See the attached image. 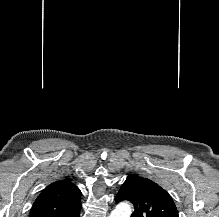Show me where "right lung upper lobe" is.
<instances>
[{
    "label": "right lung upper lobe",
    "instance_id": "right-lung-upper-lobe-1",
    "mask_svg": "<svg viewBox=\"0 0 219 217\" xmlns=\"http://www.w3.org/2000/svg\"><path fill=\"white\" fill-rule=\"evenodd\" d=\"M81 192L68 178L48 185L35 200L30 217H76Z\"/></svg>",
    "mask_w": 219,
    "mask_h": 217
}]
</instances>
